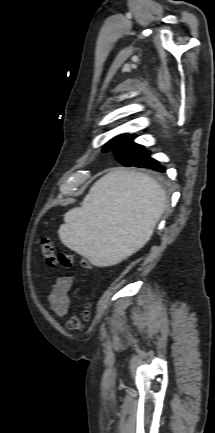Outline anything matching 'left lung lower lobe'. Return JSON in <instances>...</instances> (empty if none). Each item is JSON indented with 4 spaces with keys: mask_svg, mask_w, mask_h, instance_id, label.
<instances>
[{
    "mask_svg": "<svg viewBox=\"0 0 215 433\" xmlns=\"http://www.w3.org/2000/svg\"><path fill=\"white\" fill-rule=\"evenodd\" d=\"M130 166L147 168V167H145L144 164H138V163H132V164H130L127 167H130ZM155 171L164 172L165 171V167L160 165V167L158 169H156Z\"/></svg>",
    "mask_w": 215,
    "mask_h": 433,
    "instance_id": "obj_1",
    "label": "left lung lower lobe"
}]
</instances>
